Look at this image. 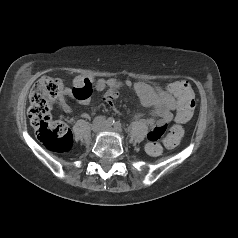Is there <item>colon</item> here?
<instances>
[{
  "label": "colon",
  "instance_id": "5ec220e1",
  "mask_svg": "<svg viewBox=\"0 0 238 238\" xmlns=\"http://www.w3.org/2000/svg\"><path fill=\"white\" fill-rule=\"evenodd\" d=\"M64 92V85L60 79L42 77L33 86L30 92V106L28 116L32 126L35 128L40 140L55 151H67L71 145V134L63 122L52 120V103ZM178 103L174 120L178 124L188 121L195 108L194 93L187 82L181 81L176 89ZM78 95V92H75ZM166 127L158 125L148 133L149 144L147 152L152 156L161 153V145L157 142L163 137ZM183 136V128L179 125L173 126L164 139V145L168 148L179 144Z\"/></svg>",
  "mask_w": 238,
  "mask_h": 238
}]
</instances>
